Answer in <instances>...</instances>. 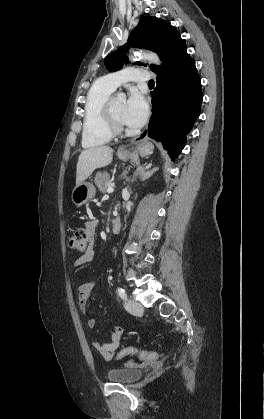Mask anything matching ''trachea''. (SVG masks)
Segmentation results:
<instances>
[{
	"mask_svg": "<svg viewBox=\"0 0 264 419\" xmlns=\"http://www.w3.org/2000/svg\"><path fill=\"white\" fill-rule=\"evenodd\" d=\"M148 84H149V85H154V81H153V80H150V81L148 82Z\"/></svg>",
	"mask_w": 264,
	"mask_h": 419,
	"instance_id": "3493384b",
	"label": "trachea"
}]
</instances>
